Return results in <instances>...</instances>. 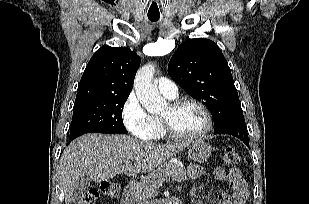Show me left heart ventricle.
Returning <instances> with one entry per match:
<instances>
[{
    "mask_svg": "<svg viewBox=\"0 0 309 204\" xmlns=\"http://www.w3.org/2000/svg\"><path fill=\"white\" fill-rule=\"evenodd\" d=\"M161 116L169 119L176 132L185 135L201 132L206 122L202 110L192 103L184 104L176 110H171L168 105Z\"/></svg>",
    "mask_w": 309,
    "mask_h": 204,
    "instance_id": "obj_1",
    "label": "left heart ventricle"
}]
</instances>
